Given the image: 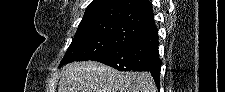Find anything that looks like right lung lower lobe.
Here are the masks:
<instances>
[{"label": "right lung lower lobe", "instance_id": "right-lung-lower-lobe-1", "mask_svg": "<svg viewBox=\"0 0 225 92\" xmlns=\"http://www.w3.org/2000/svg\"><path fill=\"white\" fill-rule=\"evenodd\" d=\"M158 39V31L153 29L91 60L104 63L119 71H149L159 89L161 60L158 53Z\"/></svg>", "mask_w": 225, "mask_h": 92}]
</instances>
